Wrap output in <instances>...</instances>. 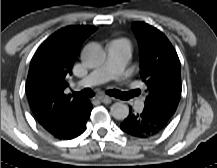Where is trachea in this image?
Returning a JSON list of instances; mask_svg holds the SVG:
<instances>
[{
	"instance_id": "3493384b",
	"label": "trachea",
	"mask_w": 217,
	"mask_h": 168,
	"mask_svg": "<svg viewBox=\"0 0 217 168\" xmlns=\"http://www.w3.org/2000/svg\"><path fill=\"white\" fill-rule=\"evenodd\" d=\"M73 94L80 96V97H83V98H88V97L94 96V92L89 88L84 89L81 92H74ZM106 94L111 95V96L116 97V98H119V99H124V100L129 99L132 96H134L133 93L126 94V93L120 92L119 90H115V89L107 90Z\"/></svg>"
}]
</instances>
